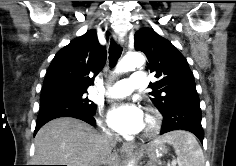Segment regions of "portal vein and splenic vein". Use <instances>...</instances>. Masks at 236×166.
I'll use <instances>...</instances> for the list:
<instances>
[{"instance_id": "portal-vein-and-splenic-vein-1", "label": "portal vein and splenic vein", "mask_w": 236, "mask_h": 166, "mask_svg": "<svg viewBox=\"0 0 236 166\" xmlns=\"http://www.w3.org/2000/svg\"><path fill=\"white\" fill-rule=\"evenodd\" d=\"M171 165H172V166H176V161H175V160L172 161V162H171Z\"/></svg>"}]
</instances>
